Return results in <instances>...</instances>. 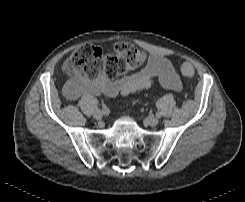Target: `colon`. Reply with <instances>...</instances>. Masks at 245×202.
<instances>
[{
  "label": "colon",
  "mask_w": 245,
  "mask_h": 202,
  "mask_svg": "<svg viewBox=\"0 0 245 202\" xmlns=\"http://www.w3.org/2000/svg\"><path fill=\"white\" fill-rule=\"evenodd\" d=\"M146 60L145 51L126 41L118 42L112 53H105L90 44L82 45L75 49L64 63L65 73L73 77L67 83L65 91L69 93L73 89L75 79H95L102 72L109 78H119L130 70L142 67ZM104 61L105 66L102 65ZM180 71L184 76H190L193 66L185 62Z\"/></svg>",
  "instance_id": "5ec220e1"
}]
</instances>
